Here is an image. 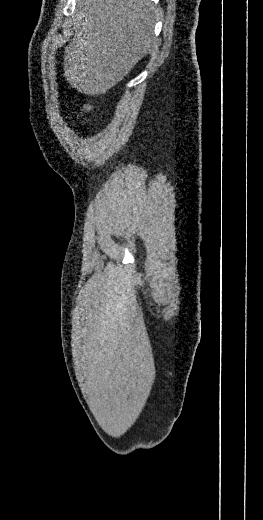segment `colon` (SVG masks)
<instances>
[{
  "label": "colon",
  "instance_id": "colon-1",
  "mask_svg": "<svg viewBox=\"0 0 263 520\" xmlns=\"http://www.w3.org/2000/svg\"><path fill=\"white\" fill-rule=\"evenodd\" d=\"M83 111H84V112L89 111V106H88V105H84V106H83ZM81 122H82V123H85V122H86V119H85V118H82V119H81Z\"/></svg>",
  "mask_w": 263,
  "mask_h": 520
}]
</instances>
